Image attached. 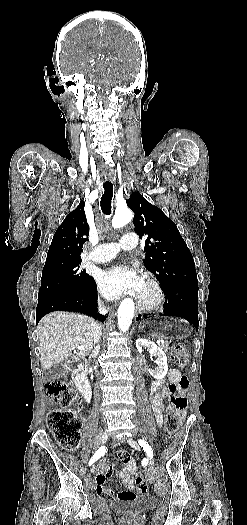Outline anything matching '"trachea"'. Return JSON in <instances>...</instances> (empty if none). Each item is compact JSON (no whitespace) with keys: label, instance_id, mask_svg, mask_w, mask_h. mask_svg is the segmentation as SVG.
I'll return each mask as SVG.
<instances>
[{"label":"trachea","instance_id":"obj_1","mask_svg":"<svg viewBox=\"0 0 247 525\" xmlns=\"http://www.w3.org/2000/svg\"><path fill=\"white\" fill-rule=\"evenodd\" d=\"M104 193L102 195L100 206L104 215L108 216L111 214V202L113 198V185L111 182H105L103 184Z\"/></svg>","mask_w":247,"mask_h":525}]
</instances>
